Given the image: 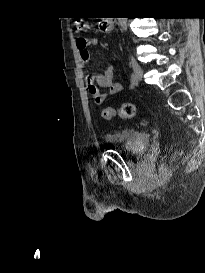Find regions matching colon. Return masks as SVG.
<instances>
[{"mask_svg":"<svg viewBox=\"0 0 205 273\" xmlns=\"http://www.w3.org/2000/svg\"><path fill=\"white\" fill-rule=\"evenodd\" d=\"M91 23L83 19H75L74 29L78 34H84L91 30ZM136 108L133 103H122L118 108L107 107L103 110V117L106 120H110L115 116L124 119H131L135 116Z\"/></svg>","mask_w":205,"mask_h":273,"instance_id":"5ec220e1","label":"colon"}]
</instances>
